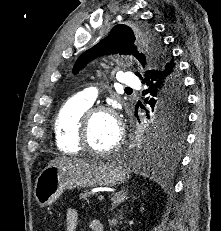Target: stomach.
<instances>
[{
	"instance_id": "obj_1",
	"label": "stomach",
	"mask_w": 221,
	"mask_h": 231,
	"mask_svg": "<svg viewBox=\"0 0 221 231\" xmlns=\"http://www.w3.org/2000/svg\"><path fill=\"white\" fill-rule=\"evenodd\" d=\"M128 173L114 161H80L46 167L37 177L34 196L41 207L51 205L72 186L113 187L124 183Z\"/></svg>"
}]
</instances>
